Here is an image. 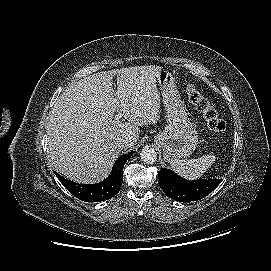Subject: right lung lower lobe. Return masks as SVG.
<instances>
[{"label":"right lung lower lobe","mask_w":271,"mask_h":271,"mask_svg":"<svg viewBox=\"0 0 271 271\" xmlns=\"http://www.w3.org/2000/svg\"><path fill=\"white\" fill-rule=\"evenodd\" d=\"M133 153L134 151H131L128 154L121 155L113 165L109 177L97 184L75 183L60 176L55 171L54 173L65 188L78 199L86 202L108 200L120 191L123 182V167Z\"/></svg>","instance_id":"obj_1"}]
</instances>
